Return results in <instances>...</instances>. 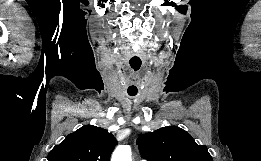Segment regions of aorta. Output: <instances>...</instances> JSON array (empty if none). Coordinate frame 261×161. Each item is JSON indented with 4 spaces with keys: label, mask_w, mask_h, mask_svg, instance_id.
I'll use <instances>...</instances> for the list:
<instances>
[{
    "label": "aorta",
    "mask_w": 261,
    "mask_h": 161,
    "mask_svg": "<svg viewBox=\"0 0 261 161\" xmlns=\"http://www.w3.org/2000/svg\"><path fill=\"white\" fill-rule=\"evenodd\" d=\"M131 155L130 146H118L112 154L111 161H132Z\"/></svg>",
    "instance_id": "1"
}]
</instances>
